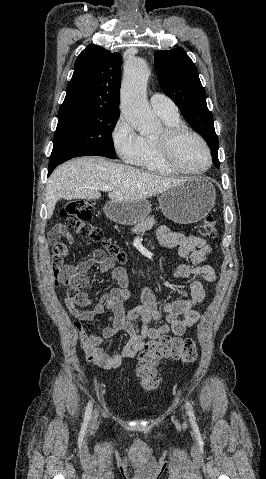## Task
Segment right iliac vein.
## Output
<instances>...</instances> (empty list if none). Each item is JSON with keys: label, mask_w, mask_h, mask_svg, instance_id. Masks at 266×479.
I'll return each mask as SVG.
<instances>
[{"label": "right iliac vein", "mask_w": 266, "mask_h": 479, "mask_svg": "<svg viewBox=\"0 0 266 479\" xmlns=\"http://www.w3.org/2000/svg\"><path fill=\"white\" fill-rule=\"evenodd\" d=\"M97 419H98V411L95 410L94 413H93L91 422H90V426H91V427H95V426H96V424H97Z\"/></svg>", "instance_id": "1"}]
</instances>
